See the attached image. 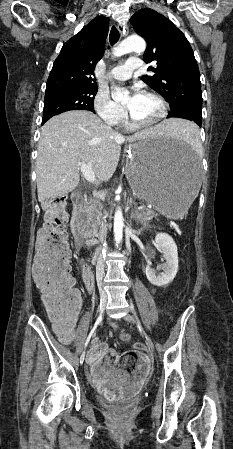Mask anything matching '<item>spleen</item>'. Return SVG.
Wrapping results in <instances>:
<instances>
[{
  "label": "spleen",
  "instance_id": "obj_1",
  "mask_svg": "<svg viewBox=\"0 0 233 449\" xmlns=\"http://www.w3.org/2000/svg\"><path fill=\"white\" fill-rule=\"evenodd\" d=\"M197 133V124L194 125H180L179 131L175 134L178 142H188L190 145L198 146L199 139Z\"/></svg>",
  "mask_w": 233,
  "mask_h": 449
}]
</instances>
